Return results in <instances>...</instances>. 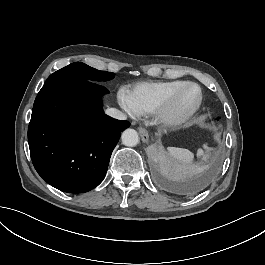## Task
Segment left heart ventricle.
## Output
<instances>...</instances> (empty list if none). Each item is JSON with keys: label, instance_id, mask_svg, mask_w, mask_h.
Listing matches in <instances>:
<instances>
[{"label": "left heart ventricle", "instance_id": "1", "mask_svg": "<svg viewBox=\"0 0 265 265\" xmlns=\"http://www.w3.org/2000/svg\"><path fill=\"white\" fill-rule=\"evenodd\" d=\"M198 95L199 91L196 86L187 87L180 97L178 108L182 110L190 108L196 103Z\"/></svg>", "mask_w": 265, "mask_h": 265}]
</instances>
